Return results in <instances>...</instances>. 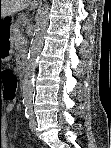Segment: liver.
Returning a JSON list of instances; mask_svg holds the SVG:
<instances>
[{"instance_id":"1","label":"liver","mask_w":111,"mask_h":148,"mask_svg":"<svg viewBox=\"0 0 111 148\" xmlns=\"http://www.w3.org/2000/svg\"><path fill=\"white\" fill-rule=\"evenodd\" d=\"M37 0H1L0 16L4 18L27 8L30 4L35 7Z\"/></svg>"}]
</instances>
